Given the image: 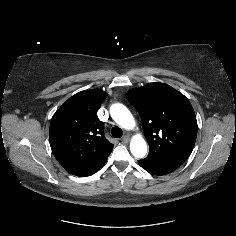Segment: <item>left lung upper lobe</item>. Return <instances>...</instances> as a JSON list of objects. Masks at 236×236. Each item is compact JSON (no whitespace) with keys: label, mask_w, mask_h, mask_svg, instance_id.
I'll list each match as a JSON object with an SVG mask.
<instances>
[{"label":"left lung upper lobe","mask_w":236,"mask_h":236,"mask_svg":"<svg viewBox=\"0 0 236 236\" xmlns=\"http://www.w3.org/2000/svg\"><path fill=\"white\" fill-rule=\"evenodd\" d=\"M138 111L149 154L145 160L162 165H182L197 136V120L189 100L173 87L151 83L127 92Z\"/></svg>","instance_id":"1"}]
</instances>
